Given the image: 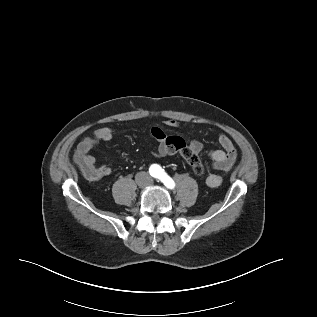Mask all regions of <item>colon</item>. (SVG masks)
I'll list each match as a JSON object with an SVG mask.
<instances>
[{"mask_svg": "<svg viewBox=\"0 0 317 317\" xmlns=\"http://www.w3.org/2000/svg\"><path fill=\"white\" fill-rule=\"evenodd\" d=\"M177 153L185 158L189 166L191 167L194 174L201 176L204 174V166L199 159L198 155L190 151L188 148L177 149ZM83 174L89 178H93L94 171L90 165H80Z\"/></svg>", "mask_w": 317, "mask_h": 317, "instance_id": "obj_1", "label": "colon"}]
</instances>
